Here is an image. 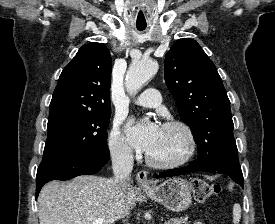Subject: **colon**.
<instances>
[{"label": "colon", "instance_id": "obj_1", "mask_svg": "<svg viewBox=\"0 0 275 224\" xmlns=\"http://www.w3.org/2000/svg\"><path fill=\"white\" fill-rule=\"evenodd\" d=\"M192 191L197 201H205L219 192V187L202 179L192 182Z\"/></svg>", "mask_w": 275, "mask_h": 224}]
</instances>
